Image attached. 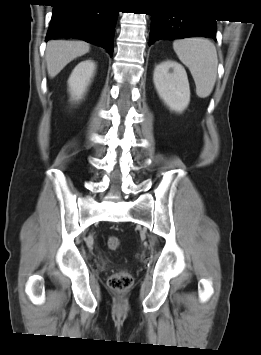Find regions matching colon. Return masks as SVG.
<instances>
[{
	"mask_svg": "<svg viewBox=\"0 0 261 355\" xmlns=\"http://www.w3.org/2000/svg\"><path fill=\"white\" fill-rule=\"evenodd\" d=\"M107 246L110 250L116 251L121 246V240L118 236H110L107 239ZM111 289L123 292L128 290L133 284V278L130 273L126 271H120L113 274L108 281Z\"/></svg>",
	"mask_w": 261,
	"mask_h": 355,
	"instance_id": "1",
	"label": "colon"
}]
</instances>
